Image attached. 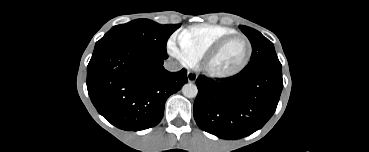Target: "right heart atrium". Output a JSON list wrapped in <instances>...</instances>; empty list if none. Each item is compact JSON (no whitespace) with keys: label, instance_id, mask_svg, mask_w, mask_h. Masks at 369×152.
Wrapping results in <instances>:
<instances>
[{"label":"right heart atrium","instance_id":"right-heart-atrium-1","mask_svg":"<svg viewBox=\"0 0 369 152\" xmlns=\"http://www.w3.org/2000/svg\"><path fill=\"white\" fill-rule=\"evenodd\" d=\"M168 52L184 65H193L194 59L189 51L183 47L176 37H171L167 42Z\"/></svg>","mask_w":369,"mask_h":152}]
</instances>
